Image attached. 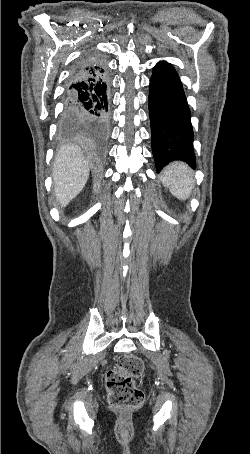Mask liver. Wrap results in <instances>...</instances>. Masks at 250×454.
Listing matches in <instances>:
<instances>
[{"label": "liver", "mask_w": 250, "mask_h": 454, "mask_svg": "<svg viewBox=\"0 0 250 454\" xmlns=\"http://www.w3.org/2000/svg\"><path fill=\"white\" fill-rule=\"evenodd\" d=\"M53 183L57 202L66 207L84 188L89 178L87 161L76 146L62 147L55 157Z\"/></svg>", "instance_id": "1"}]
</instances>
